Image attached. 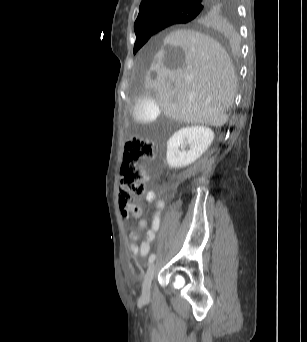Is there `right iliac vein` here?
Instances as JSON below:
<instances>
[{
  "mask_svg": "<svg viewBox=\"0 0 307 342\" xmlns=\"http://www.w3.org/2000/svg\"><path fill=\"white\" fill-rule=\"evenodd\" d=\"M155 271H156V266L154 263H151L146 271L145 279L143 281V286H142L143 299H147L150 296L151 282L153 280Z\"/></svg>",
  "mask_w": 307,
  "mask_h": 342,
  "instance_id": "63e3f726",
  "label": "right iliac vein"
}]
</instances>
